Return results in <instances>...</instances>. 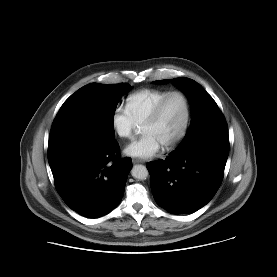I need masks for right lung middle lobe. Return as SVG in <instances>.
<instances>
[{
    "instance_id": "dd1d6c3e",
    "label": "right lung middle lobe",
    "mask_w": 277,
    "mask_h": 277,
    "mask_svg": "<svg viewBox=\"0 0 277 277\" xmlns=\"http://www.w3.org/2000/svg\"><path fill=\"white\" fill-rule=\"evenodd\" d=\"M129 84L90 83L72 94L61 106L54 122L85 125L96 133L114 139V114Z\"/></svg>"
}]
</instances>
